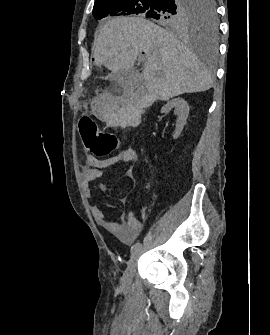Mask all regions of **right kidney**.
Instances as JSON below:
<instances>
[{"label":"right kidney","mask_w":270,"mask_h":335,"mask_svg":"<svg viewBox=\"0 0 270 335\" xmlns=\"http://www.w3.org/2000/svg\"><path fill=\"white\" fill-rule=\"evenodd\" d=\"M174 108L175 114L178 116V120L176 122L175 134H173L174 140L179 138L188 118L189 114V106L183 98H174V100H170L167 102L165 106H163L161 110V114H165V112H170Z\"/></svg>","instance_id":"1"}]
</instances>
